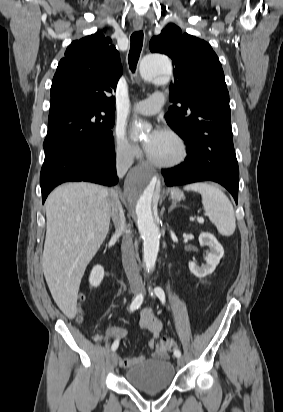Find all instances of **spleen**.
<instances>
[{"label": "spleen", "mask_w": 283, "mask_h": 412, "mask_svg": "<svg viewBox=\"0 0 283 412\" xmlns=\"http://www.w3.org/2000/svg\"><path fill=\"white\" fill-rule=\"evenodd\" d=\"M184 190L201 194L202 204L209 219L223 236H231L236 228L233 206L227 196L216 186L209 183H193Z\"/></svg>", "instance_id": "1"}]
</instances>
